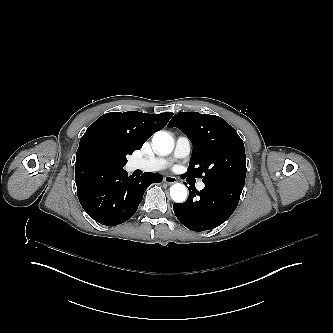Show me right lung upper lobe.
<instances>
[{
    "mask_svg": "<svg viewBox=\"0 0 333 333\" xmlns=\"http://www.w3.org/2000/svg\"><path fill=\"white\" fill-rule=\"evenodd\" d=\"M173 113L148 114L136 111L106 113L91 124L82 136L76 153V163L93 142H101L119 154H132L145 141L161 130Z\"/></svg>",
    "mask_w": 333,
    "mask_h": 333,
    "instance_id": "obj_1",
    "label": "right lung upper lobe"
}]
</instances>
